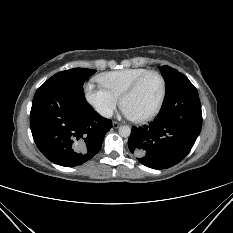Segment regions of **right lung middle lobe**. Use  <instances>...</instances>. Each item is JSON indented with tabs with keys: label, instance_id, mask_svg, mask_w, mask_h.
Returning <instances> with one entry per match:
<instances>
[{
	"label": "right lung middle lobe",
	"instance_id": "right-lung-middle-lobe-1",
	"mask_svg": "<svg viewBox=\"0 0 233 233\" xmlns=\"http://www.w3.org/2000/svg\"><path fill=\"white\" fill-rule=\"evenodd\" d=\"M95 72L96 70L93 69L73 68L56 73L48 81H58L83 88L85 80Z\"/></svg>",
	"mask_w": 233,
	"mask_h": 233
}]
</instances>
